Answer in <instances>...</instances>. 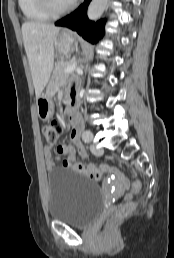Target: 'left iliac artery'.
Listing matches in <instances>:
<instances>
[{
	"label": "left iliac artery",
	"mask_w": 174,
	"mask_h": 258,
	"mask_svg": "<svg viewBox=\"0 0 174 258\" xmlns=\"http://www.w3.org/2000/svg\"><path fill=\"white\" fill-rule=\"evenodd\" d=\"M92 138H93V134L90 130H86L83 132L82 139L84 142L89 143L91 142Z\"/></svg>",
	"instance_id": "44dca946"
}]
</instances>
